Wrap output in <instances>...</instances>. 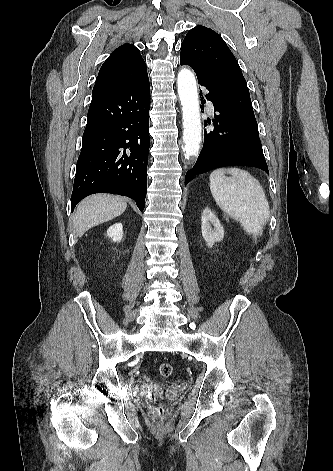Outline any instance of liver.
<instances>
[{"label": "liver", "mask_w": 333, "mask_h": 471, "mask_svg": "<svg viewBox=\"0 0 333 471\" xmlns=\"http://www.w3.org/2000/svg\"><path fill=\"white\" fill-rule=\"evenodd\" d=\"M127 208L126 200L110 194H96L82 200L74 215L73 225L78 237L90 228L120 216Z\"/></svg>", "instance_id": "6515ba94"}]
</instances>
